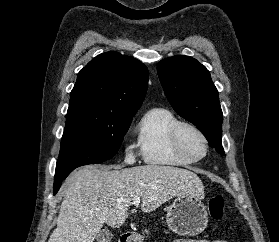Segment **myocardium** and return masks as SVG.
<instances>
[{
	"instance_id": "f54148a6",
	"label": "myocardium",
	"mask_w": 279,
	"mask_h": 242,
	"mask_svg": "<svg viewBox=\"0 0 279 242\" xmlns=\"http://www.w3.org/2000/svg\"><path fill=\"white\" fill-rule=\"evenodd\" d=\"M185 130H190L195 133L204 144V152L201 156H193L191 153L187 151L183 141V133ZM171 142L173 148L182 158L195 163L199 162L206 157L209 151V141L204 132L195 124L185 121H179L171 131Z\"/></svg>"
}]
</instances>
